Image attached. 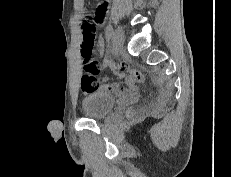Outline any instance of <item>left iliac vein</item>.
<instances>
[{
  "label": "left iliac vein",
  "instance_id": "4c4485c4",
  "mask_svg": "<svg viewBox=\"0 0 231 177\" xmlns=\"http://www.w3.org/2000/svg\"><path fill=\"white\" fill-rule=\"evenodd\" d=\"M113 46L116 49H121L124 46L125 37L121 28H117L113 34Z\"/></svg>",
  "mask_w": 231,
  "mask_h": 177
}]
</instances>
